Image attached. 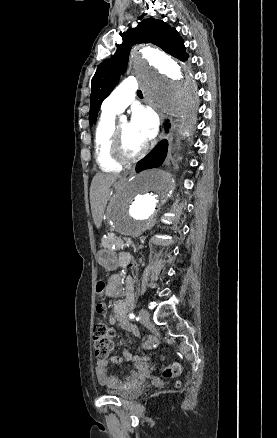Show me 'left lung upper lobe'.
<instances>
[{
    "instance_id": "1",
    "label": "left lung upper lobe",
    "mask_w": 277,
    "mask_h": 438,
    "mask_svg": "<svg viewBox=\"0 0 277 438\" xmlns=\"http://www.w3.org/2000/svg\"><path fill=\"white\" fill-rule=\"evenodd\" d=\"M123 42L117 46L115 55L104 60L97 68L91 81L90 124L96 121L102 101L116 86L121 72L127 65L128 55L133 45L153 43L166 53L186 61L189 55L185 52L184 41L175 28L162 20L143 19L136 28L122 33Z\"/></svg>"
}]
</instances>
